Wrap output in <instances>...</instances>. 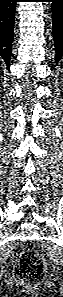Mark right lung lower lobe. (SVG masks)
<instances>
[{
    "instance_id": "1",
    "label": "right lung lower lobe",
    "mask_w": 63,
    "mask_h": 297,
    "mask_svg": "<svg viewBox=\"0 0 63 297\" xmlns=\"http://www.w3.org/2000/svg\"><path fill=\"white\" fill-rule=\"evenodd\" d=\"M17 0H0V57L10 65Z\"/></svg>"
}]
</instances>
